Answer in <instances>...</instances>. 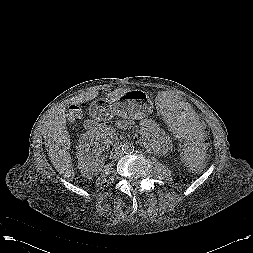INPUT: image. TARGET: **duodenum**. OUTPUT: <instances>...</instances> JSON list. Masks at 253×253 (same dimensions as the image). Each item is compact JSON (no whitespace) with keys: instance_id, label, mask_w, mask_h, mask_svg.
<instances>
[{"instance_id":"410a0bca","label":"duodenum","mask_w":253,"mask_h":253,"mask_svg":"<svg viewBox=\"0 0 253 253\" xmlns=\"http://www.w3.org/2000/svg\"><path fill=\"white\" fill-rule=\"evenodd\" d=\"M92 112L93 113H99V114H103V113H105L106 112V108L104 107V106H100V105H94L93 107H92ZM90 128H93V124H91V127Z\"/></svg>"}]
</instances>
